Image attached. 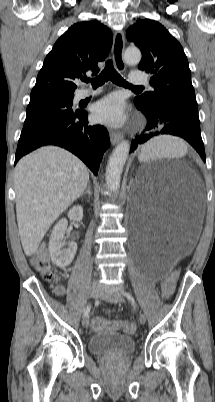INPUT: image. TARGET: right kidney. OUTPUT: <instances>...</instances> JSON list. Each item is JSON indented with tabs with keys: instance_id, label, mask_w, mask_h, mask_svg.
Returning a JSON list of instances; mask_svg holds the SVG:
<instances>
[{
	"instance_id": "right-kidney-1",
	"label": "right kidney",
	"mask_w": 215,
	"mask_h": 402,
	"mask_svg": "<svg viewBox=\"0 0 215 402\" xmlns=\"http://www.w3.org/2000/svg\"><path fill=\"white\" fill-rule=\"evenodd\" d=\"M68 217L71 220L81 221L83 219V208L80 205L70 209ZM68 221L61 219L53 228L50 241L49 251L52 262L58 267H66L73 261L77 251V244L74 241L65 242L64 235L66 233Z\"/></svg>"
}]
</instances>
